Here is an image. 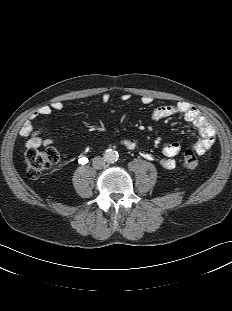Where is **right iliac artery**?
Masks as SVG:
<instances>
[{
  "label": "right iliac artery",
  "mask_w": 232,
  "mask_h": 311,
  "mask_svg": "<svg viewBox=\"0 0 232 311\" xmlns=\"http://www.w3.org/2000/svg\"><path fill=\"white\" fill-rule=\"evenodd\" d=\"M83 158H85V157H83ZM83 158H82V159H83ZM87 161H88L87 158H85V163H86ZM85 163H84V164H85Z\"/></svg>",
  "instance_id": "right-iliac-artery-1"
}]
</instances>
